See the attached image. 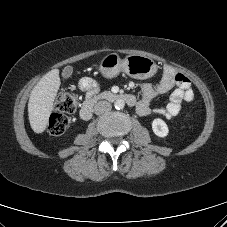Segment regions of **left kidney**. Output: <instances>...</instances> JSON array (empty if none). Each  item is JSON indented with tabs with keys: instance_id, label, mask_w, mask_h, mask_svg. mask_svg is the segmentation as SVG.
Returning a JSON list of instances; mask_svg holds the SVG:
<instances>
[{
	"instance_id": "1",
	"label": "left kidney",
	"mask_w": 227,
	"mask_h": 227,
	"mask_svg": "<svg viewBox=\"0 0 227 227\" xmlns=\"http://www.w3.org/2000/svg\"><path fill=\"white\" fill-rule=\"evenodd\" d=\"M152 130L158 137H166L169 133L167 124L160 118H156L152 121Z\"/></svg>"
}]
</instances>
